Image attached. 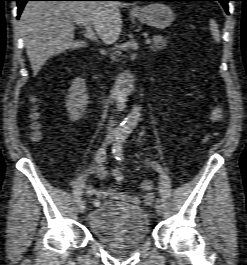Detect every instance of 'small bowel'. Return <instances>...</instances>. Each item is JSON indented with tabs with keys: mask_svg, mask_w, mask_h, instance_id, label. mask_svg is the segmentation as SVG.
<instances>
[{
	"mask_svg": "<svg viewBox=\"0 0 247 265\" xmlns=\"http://www.w3.org/2000/svg\"><path fill=\"white\" fill-rule=\"evenodd\" d=\"M91 174L98 176L100 179H107L109 176L108 170L101 164H93L85 169L82 174L79 176L74 188H79L85 178ZM139 189L144 192L142 201L146 205H150L153 202L154 196L151 193L153 189V182L150 180H144L139 184ZM83 193L85 196H96L99 199H111L114 201H124L130 204H138L140 199L135 195H128L121 192L117 187L98 190L92 186H86L83 188Z\"/></svg>",
	"mask_w": 247,
	"mask_h": 265,
	"instance_id": "1",
	"label": "small bowel"
}]
</instances>
